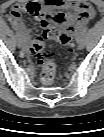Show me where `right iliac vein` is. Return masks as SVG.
<instances>
[{
    "mask_svg": "<svg viewBox=\"0 0 104 137\" xmlns=\"http://www.w3.org/2000/svg\"><path fill=\"white\" fill-rule=\"evenodd\" d=\"M16 44L18 48L22 49L24 47L21 36L16 34Z\"/></svg>",
    "mask_w": 104,
    "mask_h": 137,
    "instance_id": "obj_1",
    "label": "right iliac vein"
}]
</instances>
